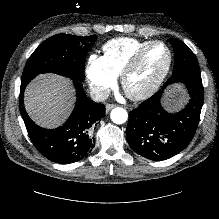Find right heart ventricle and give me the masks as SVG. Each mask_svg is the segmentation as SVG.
Instances as JSON below:
<instances>
[{
    "instance_id": "1",
    "label": "right heart ventricle",
    "mask_w": 219,
    "mask_h": 219,
    "mask_svg": "<svg viewBox=\"0 0 219 219\" xmlns=\"http://www.w3.org/2000/svg\"><path fill=\"white\" fill-rule=\"evenodd\" d=\"M150 42L132 37L113 38L103 45L102 57L109 70L117 76L128 60Z\"/></svg>"
}]
</instances>
